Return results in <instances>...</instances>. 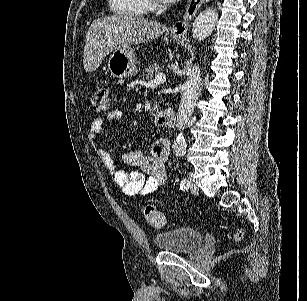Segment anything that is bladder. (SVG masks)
<instances>
[{
    "mask_svg": "<svg viewBox=\"0 0 307 301\" xmlns=\"http://www.w3.org/2000/svg\"><path fill=\"white\" fill-rule=\"evenodd\" d=\"M154 240L162 251L191 252L202 244L204 234L193 228H179L155 235Z\"/></svg>",
    "mask_w": 307,
    "mask_h": 301,
    "instance_id": "obj_1",
    "label": "bladder"
}]
</instances>
